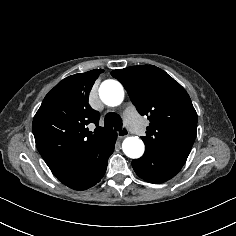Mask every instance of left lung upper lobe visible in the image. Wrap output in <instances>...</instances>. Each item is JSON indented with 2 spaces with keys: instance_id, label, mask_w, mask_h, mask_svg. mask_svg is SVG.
I'll return each mask as SVG.
<instances>
[{
  "instance_id": "1",
  "label": "left lung upper lobe",
  "mask_w": 236,
  "mask_h": 236,
  "mask_svg": "<svg viewBox=\"0 0 236 236\" xmlns=\"http://www.w3.org/2000/svg\"><path fill=\"white\" fill-rule=\"evenodd\" d=\"M127 90L141 115L150 121L141 137L147 150L188 157L196 138L197 113L185 89L162 69L139 65L111 72Z\"/></svg>"
}]
</instances>
